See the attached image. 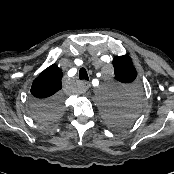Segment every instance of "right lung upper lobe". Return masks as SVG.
<instances>
[{
	"label": "right lung upper lobe",
	"instance_id": "obj_1",
	"mask_svg": "<svg viewBox=\"0 0 174 174\" xmlns=\"http://www.w3.org/2000/svg\"><path fill=\"white\" fill-rule=\"evenodd\" d=\"M62 72L55 64L46 68L33 82L31 93L37 100H47L60 94Z\"/></svg>",
	"mask_w": 174,
	"mask_h": 174
}]
</instances>
